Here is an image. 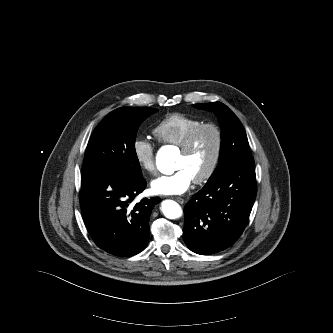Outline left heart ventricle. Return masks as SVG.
<instances>
[{
    "label": "left heart ventricle",
    "instance_id": "b2bd125f",
    "mask_svg": "<svg viewBox=\"0 0 333 333\" xmlns=\"http://www.w3.org/2000/svg\"><path fill=\"white\" fill-rule=\"evenodd\" d=\"M214 148L215 134L212 130L206 129L199 134L190 153H179L175 168H184L193 179L197 178L209 166Z\"/></svg>",
    "mask_w": 333,
    "mask_h": 333
}]
</instances>
